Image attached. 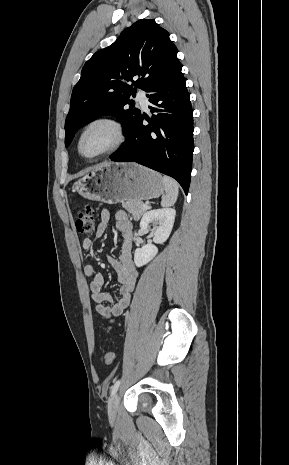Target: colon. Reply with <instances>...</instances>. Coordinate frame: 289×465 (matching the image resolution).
Here are the masks:
<instances>
[{
	"mask_svg": "<svg viewBox=\"0 0 289 465\" xmlns=\"http://www.w3.org/2000/svg\"><path fill=\"white\" fill-rule=\"evenodd\" d=\"M75 226L79 233L86 236H91L95 231V214L90 205H85L79 208L75 219ZM115 355L112 351H107L104 354V362L107 365L113 364Z\"/></svg>",
	"mask_w": 289,
	"mask_h": 465,
	"instance_id": "5ec220e1",
	"label": "colon"
}]
</instances>
